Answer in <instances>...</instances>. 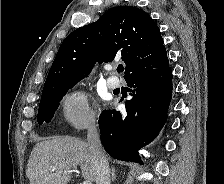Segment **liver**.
I'll return each instance as SVG.
<instances>
[{
  "label": "liver",
  "mask_w": 224,
  "mask_h": 184,
  "mask_svg": "<svg viewBox=\"0 0 224 184\" xmlns=\"http://www.w3.org/2000/svg\"><path fill=\"white\" fill-rule=\"evenodd\" d=\"M78 166L86 181H96L95 159L88 143L76 137L54 136L33 148L26 174L30 184H68L71 172L67 170Z\"/></svg>",
  "instance_id": "6515ba94"
}]
</instances>
